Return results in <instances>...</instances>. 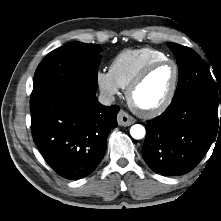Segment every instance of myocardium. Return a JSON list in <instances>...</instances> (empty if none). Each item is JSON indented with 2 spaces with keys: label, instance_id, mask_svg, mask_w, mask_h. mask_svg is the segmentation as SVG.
Segmentation results:
<instances>
[{
  "label": "myocardium",
  "instance_id": "1",
  "mask_svg": "<svg viewBox=\"0 0 221 221\" xmlns=\"http://www.w3.org/2000/svg\"><path fill=\"white\" fill-rule=\"evenodd\" d=\"M164 64H171L174 68V78L172 85L165 96V98L155 107L144 109L137 106L133 100V94L135 90L143 83V81L147 78V76L150 74V72ZM179 77H180V71L177 63L173 61L172 59L165 58L160 60L152 61L148 64H146L139 73L133 78V80L129 83V85L126 88V98L129 103V105L140 115L144 117H155L163 113L172 103L179 83Z\"/></svg>",
  "mask_w": 221,
  "mask_h": 221
}]
</instances>
